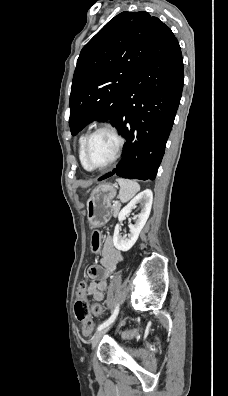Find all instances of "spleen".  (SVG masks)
Wrapping results in <instances>:
<instances>
[{
	"mask_svg": "<svg viewBox=\"0 0 228 396\" xmlns=\"http://www.w3.org/2000/svg\"><path fill=\"white\" fill-rule=\"evenodd\" d=\"M116 182L120 186L119 199L122 203L128 202L140 191V185L133 180L117 178Z\"/></svg>",
	"mask_w": 228,
	"mask_h": 396,
	"instance_id": "1",
	"label": "spleen"
}]
</instances>
